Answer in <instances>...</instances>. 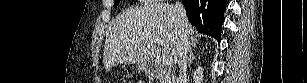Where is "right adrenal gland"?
I'll list each match as a JSON object with an SVG mask.
<instances>
[{
    "label": "right adrenal gland",
    "mask_w": 307,
    "mask_h": 83,
    "mask_svg": "<svg viewBox=\"0 0 307 83\" xmlns=\"http://www.w3.org/2000/svg\"><path fill=\"white\" fill-rule=\"evenodd\" d=\"M195 58H196V57L194 56L193 49L191 48V49H190V52H189V57H188V67H190L192 61H193Z\"/></svg>",
    "instance_id": "obj_1"
}]
</instances>
